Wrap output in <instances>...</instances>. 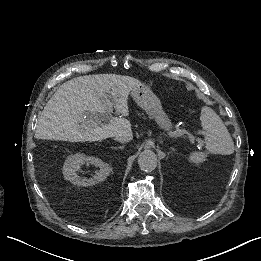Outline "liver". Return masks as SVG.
I'll list each match as a JSON object with an SVG mask.
<instances>
[{
	"label": "liver",
	"instance_id": "liver-1",
	"mask_svg": "<svg viewBox=\"0 0 261 261\" xmlns=\"http://www.w3.org/2000/svg\"><path fill=\"white\" fill-rule=\"evenodd\" d=\"M141 82L129 76L112 74L74 78L61 85L38 120L35 138L66 142H99L111 137L128 136L133 140L131 121L127 119L129 95ZM121 117L96 127L86 126L98 114L107 112L110 99ZM88 125V124H87Z\"/></svg>",
	"mask_w": 261,
	"mask_h": 261
}]
</instances>
